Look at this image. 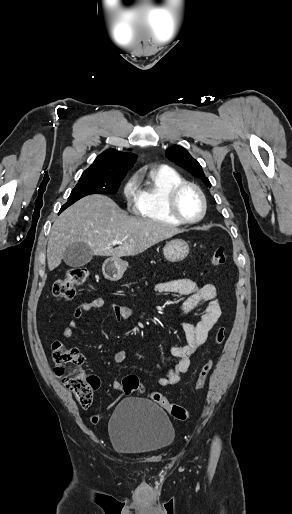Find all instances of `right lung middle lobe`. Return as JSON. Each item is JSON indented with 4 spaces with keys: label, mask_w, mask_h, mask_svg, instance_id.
<instances>
[{
    "label": "right lung middle lobe",
    "mask_w": 292,
    "mask_h": 514,
    "mask_svg": "<svg viewBox=\"0 0 292 514\" xmlns=\"http://www.w3.org/2000/svg\"><path fill=\"white\" fill-rule=\"evenodd\" d=\"M122 179L123 178L81 176L77 185L72 190L67 203L62 206L60 212L87 195L115 194L118 191Z\"/></svg>",
    "instance_id": "obj_1"
}]
</instances>
